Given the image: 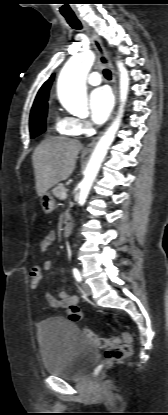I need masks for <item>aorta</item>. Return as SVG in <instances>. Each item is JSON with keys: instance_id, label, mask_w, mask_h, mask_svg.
<instances>
[{"instance_id": "762f6f07", "label": "aorta", "mask_w": 168, "mask_h": 415, "mask_svg": "<svg viewBox=\"0 0 168 415\" xmlns=\"http://www.w3.org/2000/svg\"><path fill=\"white\" fill-rule=\"evenodd\" d=\"M94 59L92 52L80 53L71 57L60 72L57 84L58 98L62 106L70 113L76 114L87 110L86 76L94 63ZM117 67L120 73L118 114L91 155L85 176L80 184L79 204L86 200L103 159L115 139L123 117L124 105L129 91V75L121 61L117 62Z\"/></svg>"}]
</instances>
